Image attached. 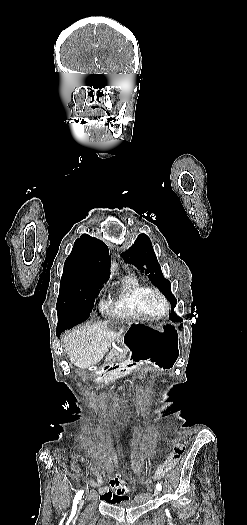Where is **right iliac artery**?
<instances>
[{
	"label": "right iliac artery",
	"instance_id": "obj_1",
	"mask_svg": "<svg viewBox=\"0 0 247 525\" xmlns=\"http://www.w3.org/2000/svg\"><path fill=\"white\" fill-rule=\"evenodd\" d=\"M82 495H83V490L78 491L77 494L75 495V498L73 500V508L71 512V517L75 515L76 510H77V504L79 503V500H81Z\"/></svg>",
	"mask_w": 247,
	"mask_h": 525
}]
</instances>
